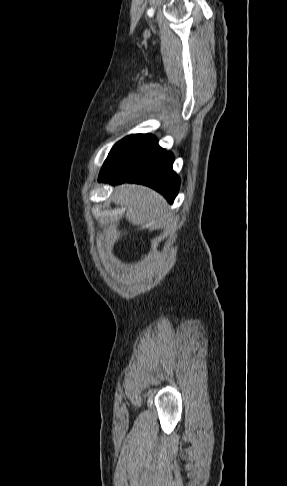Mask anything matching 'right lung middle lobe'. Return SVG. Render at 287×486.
Listing matches in <instances>:
<instances>
[{
  "label": "right lung middle lobe",
  "mask_w": 287,
  "mask_h": 486,
  "mask_svg": "<svg viewBox=\"0 0 287 486\" xmlns=\"http://www.w3.org/2000/svg\"><path fill=\"white\" fill-rule=\"evenodd\" d=\"M142 136H144V134H134V135H129V136L123 138L122 140H120L119 142H117L113 146V148L111 149L108 157L111 156V155H113L114 153L120 151L121 149H123L124 147H126L129 144L133 143L134 141L138 140Z\"/></svg>",
  "instance_id": "1"
}]
</instances>
